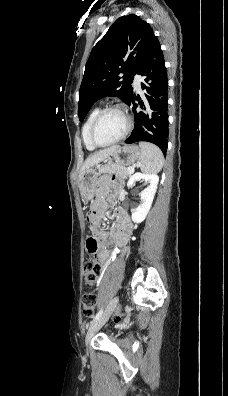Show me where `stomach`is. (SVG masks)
<instances>
[{
  "label": "stomach",
  "instance_id": "obj_1",
  "mask_svg": "<svg viewBox=\"0 0 228 396\" xmlns=\"http://www.w3.org/2000/svg\"><path fill=\"white\" fill-rule=\"evenodd\" d=\"M111 156L117 164L122 166H129L134 164L138 159H140L141 150L135 144L119 146L117 150L112 153ZM109 160L110 157L105 159L104 163H108ZM103 167L104 166H98L97 168L90 167L80 175L78 186L84 202H89L93 200L96 182Z\"/></svg>",
  "mask_w": 228,
  "mask_h": 396
}]
</instances>
